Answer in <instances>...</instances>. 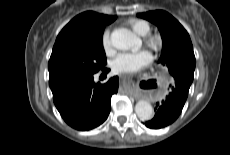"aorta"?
<instances>
[{"mask_svg": "<svg viewBox=\"0 0 230 155\" xmlns=\"http://www.w3.org/2000/svg\"><path fill=\"white\" fill-rule=\"evenodd\" d=\"M112 45L121 50H128L136 45H140V39L129 29L119 28L111 34ZM135 112L141 120H150L154 111L152 105L146 100H139L135 105Z\"/></svg>", "mask_w": 230, "mask_h": 155, "instance_id": "aorta-1", "label": "aorta"}]
</instances>
